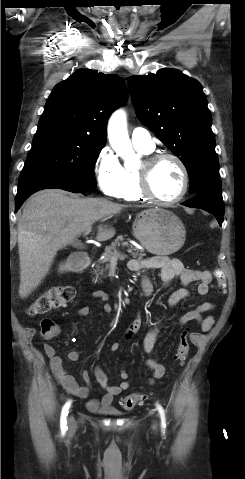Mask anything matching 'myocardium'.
Listing matches in <instances>:
<instances>
[{"label": "myocardium", "instance_id": "myocardium-1", "mask_svg": "<svg viewBox=\"0 0 245 479\" xmlns=\"http://www.w3.org/2000/svg\"><path fill=\"white\" fill-rule=\"evenodd\" d=\"M170 159L174 161L180 168L182 174V188L180 193L171 200H163L159 198L153 191L151 187V175L155 168V166L162 160ZM139 176V190L141 194L145 197V199L162 205V206H170L180 202L188 192L189 189V172L187 166L185 165L184 161L176 154L170 152H160L154 153L148 156L142 167L138 170Z\"/></svg>", "mask_w": 245, "mask_h": 479}]
</instances>
